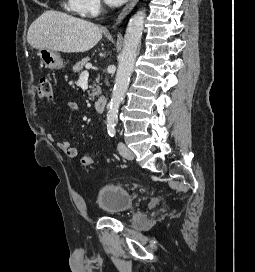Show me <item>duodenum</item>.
<instances>
[{"mask_svg": "<svg viewBox=\"0 0 255 272\" xmlns=\"http://www.w3.org/2000/svg\"><path fill=\"white\" fill-rule=\"evenodd\" d=\"M107 105V98L105 96L99 97L94 104V108L98 113H102Z\"/></svg>", "mask_w": 255, "mask_h": 272, "instance_id": "obj_1", "label": "duodenum"}]
</instances>
